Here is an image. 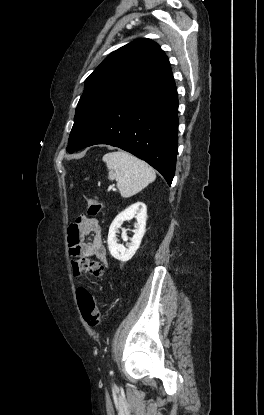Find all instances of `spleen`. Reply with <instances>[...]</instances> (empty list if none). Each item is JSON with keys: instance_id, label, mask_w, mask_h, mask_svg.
<instances>
[{"instance_id": "3e777b00", "label": "spleen", "mask_w": 264, "mask_h": 415, "mask_svg": "<svg viewBox=\"0 0 264 415\" xmlns=\"http://www.w3.org/2000/svg\"><path fill=\"white\" fill-rule=\"evenodd\" d=\"M109 170L108 179L118 182L122 197H131L156 178L154 169L146 162L125 151L109 152L103 156Z\"/></svg>"}]
</instances>
